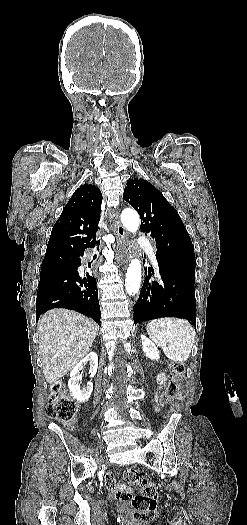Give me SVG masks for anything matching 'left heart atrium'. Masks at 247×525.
I'll return each mask as SVG.
<instances>
[{
    "instance_id": "left-heart-atrium-1",
    "label": "left heart atrium",
    "mask_w": 247,
    "mask_h": 525,
    "mask_svg": "<svg viewBox=\"0 0 247 525\" xmlns=\"http://www.w3.org/2000/svg\"><path fill=\"white\" fill-rule=\"evenodd\" d=\"M121 262H125V258H123V257H119V258L117 259V264H120ZM127 265H128L129 267L131 266V264H127Z\"/></svg>"
}]
</instances>
